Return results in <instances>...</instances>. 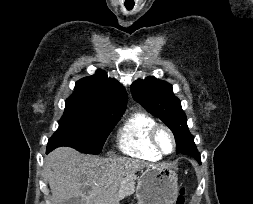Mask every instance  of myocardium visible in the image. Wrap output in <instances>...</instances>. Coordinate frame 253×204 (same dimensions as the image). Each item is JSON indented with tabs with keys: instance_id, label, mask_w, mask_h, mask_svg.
Segmentation results:
<instances>
[{
	"instance_id": "obj_1",
	"label": "myocardium",
	"mask_w": 253,
	"mask_h": 204,
	"mask_svg": "<svg viewBox=\"0 0 253 204\" xmlns=\"http://www.w3.org/2000/svg\"><path fill=\"white\" fill-rule=\"evenodd\" d=\"M162 130L166 131L172 140V150L170 152H165L159 144L158 135H159V132ZM150 140H151L152 146L161 156H169V155H172L176 151V148H177L176 137L173 131L165 124H156L152 128L151 133H150Z\"/></svg>"
}]
</instances>
